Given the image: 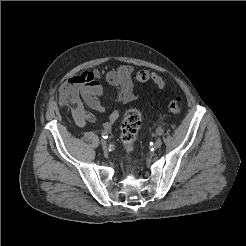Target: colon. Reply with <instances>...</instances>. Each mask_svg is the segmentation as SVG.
<instances>
[{"label":"colon","mask_w":246,"mask_h":246,"mask_svg":"<svg viewBox=\"0 0 246 246\" xmlns=\"http://www.w3.org/2000/svg\"><path fill=\"white\" fill-rule=\"evenodd\" d=\"M134 76L136 81L140 83L152 81L159 89H163L165 87L164 79L153 71L140 70ZM168 109L171 113L178 114L181 110L180 99H172L168 104ZM141 122L142 116L137 109L132 108L125 112L121 124V140L127 152H131L134 148L135 139Z\"/></svg>","instance_id":"colon-1"}]
</instances>
